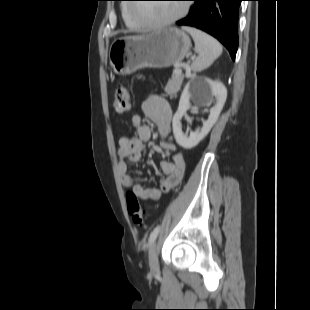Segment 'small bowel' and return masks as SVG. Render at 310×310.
<instances>
[{
    "label": "small bowel",
    "instance_id": "1",
    "mask_svg": "<svg viewBox=\"0 0 310 310\" xmlns=\"http://www.w3.org/2000/svg\"><path fill=\"white\" fill-rule=\"evenodd\" d=\"M143 114L156 125L160 136L159 145L162 150L171 152L172 160H162L160 167L166 175L159 188H145L128 173V161L138 162L141 159L143 143L151 138L149 125L143 123L142 116L135 114L131 117V125L137 136L123 135L119 139L118 171L124 187L133 191L142 200H157L162 193H169L183 179L186 162L182 153L177 151L174 143L167 137L170 133L172 110L165 99L158 95H149L142 102Z\"/></svg>",
    "mask_w": 310,
    "mask_h": 310
}]
</instances>
